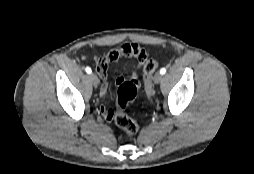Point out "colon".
I'll use <instances>...</instances> for the list:
<instances>
[{
	"label": "colon",
	"mask_w": 254,
	"mask_h": 174,
	"mask_svg": "<svg viewBox=\"0 0 254 174\" xmlns=\"http://www.w3.org/2000/svg\"><path fill=\"white\" fill-rule=\"evenodd\" d=\"M132 47L135 44H129ZM158 62L149 59L144 64L143 69V77H144V86L147 95L150 97L153 94V84H152V77L155 71L158 69ZM138 92V85L133 82H124L119 86L118 89V96L116 100V110L113 113L112 119L114 120L115 124L127 135L134 136L138 133L139 127L138 124L129 116L124 113V109L126 106L132 102Z\"/></svg>",
	"instance_id": "1"
}]
</instances>
